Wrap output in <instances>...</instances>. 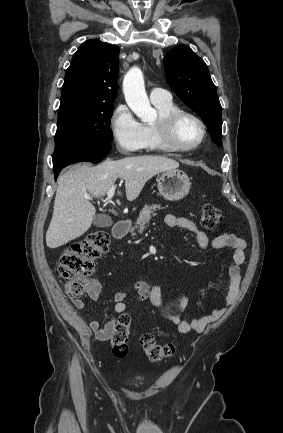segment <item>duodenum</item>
Here are the masks:
<instances>
[{
    "mask_svg": "<svg viewBox=\"0 0 283 433\" xmlns=\"http://www.w3.org/2000/svg\"><path fill=\"white\" fill-rule=\"evenodd\" d=\"M128 231V224L125 221H117L112 230V234L115 238H122Z\"/></svg>",
    "mask_w": 283,
    "mask_h": 433,
    "instance_id": "1",
    "label": "duodenum"
}]
</instances>
